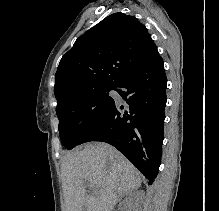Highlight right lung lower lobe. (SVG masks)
<instances>
[{
	"label": "right lung lower lobe",
	"mask_w": 219,
	"mask_h": 211,
	"mask_svg": "<svg viewBox=\"0 0 219 211\" xmlns=\"http://www.w3.org/2000/svg\"><path fill=\"white\" fill-rule=\"evenodd\" d=\"M167 79L160 56L128 73L115 89L125 100H115L107 115L94 124L79 143L103 141L116 147L150 183L158 174L164 138Z\"/></svg>",
	"instance_id": "1"
}]
</instances>
